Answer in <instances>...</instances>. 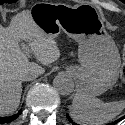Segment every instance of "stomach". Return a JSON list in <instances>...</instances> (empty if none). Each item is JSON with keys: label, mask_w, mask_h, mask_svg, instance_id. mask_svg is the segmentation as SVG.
Segmentation results:
<instances>
[{"label": "stomach", "mask_w": 125, "mask_h": 125, "mask_svg": "<svg viewBox=\"0 0 125 125\" xmlns=\"http://www.w3.org/2000/svg\"><path fill=\"white\" fill-rule=\"evenodd\" d=\"M86 10L80 5L37 3L30 16L47 37L56 38L63 31L78 42L80 66H71L68 72L78 92L96 97L116 84L121 60L99 16Z\"/></svg>", "instance_id": "0dacf381"}]
</instances>
